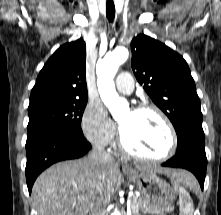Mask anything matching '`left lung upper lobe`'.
Returning <instances> with one entry per match:
<instances>
[{
  "label": "left lung upper lobe",
  "mask_w": 221,
  "mask_h": 215,
  "mask_svg": "<svg viewBox=\"0 0 221 215\" xmlns=\"http://www.w3.org/2000/svg\"><path fill=\"white\" fill-rule=\"evenodd\" d=\"M131 50L134 75L168 116L177 136L187 128H202L200 100L183 57L144 34L133 38Z\"/></svg>",
  "instance_id": "obj_1"
}]
</instances>
